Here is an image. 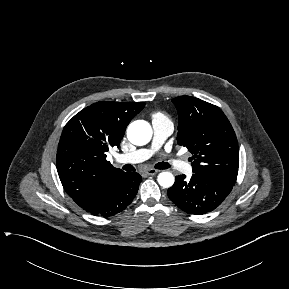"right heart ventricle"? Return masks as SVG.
Returning <instances> with one entry per match:
<instances>
[{"label": "right heart ventricle", "instance_id": "1", "mask_svg": "<svg viewBox=\"0 0 289 289\" xmlns=\"http://www.w3.org/2000/svg\"><path fill=\"white\" fill-rule=\"evenodd\" d=\"M153 120L169 121L168 118H167L164 114H162V113H160V112L155 113V114L153 115Z\"/></svg>", "mask_w": 289, "mask_h": 289}]
</instances>
